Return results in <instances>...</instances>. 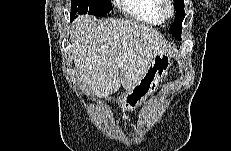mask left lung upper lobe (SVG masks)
I'll return each mask as SVG.
<instances>
[{
	"instance_id": "left-lung-upper-lobe-1",
	"label": "left lung upper lobe",
	"mask_w": 231,
	"mask_h": 151,
	"mask_svg": "<svg viewBox=\"0 0 231 151\" xmlns=\"http://www.w3.org/2000/svg\"><path fill=\"white\" fill-rule=\"evenodd\" d=\"M174 6L176 10L175 20L172 26L169 29V33H171L176 38H181L182 32V21L185 17L184 12V0H174Z\"/></svg>"
}]
</instances>
